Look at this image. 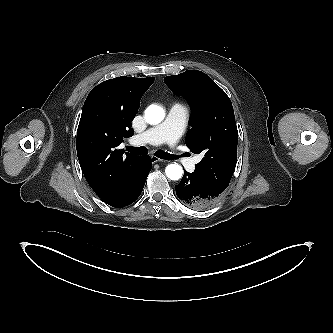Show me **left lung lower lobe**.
Returning a JSON list of instances; mask_svg holds the SVG:
<instances>
[{"label":"left lung lower lobe","mask_w":333,"mask_h":333,"mask_svg":"<svg viewBox=\"0 0 333 333\" xmlns=\"http://www.w3.org/2000/svg\"><path fill=\"white\" fill-rule=\"evenodd\" d=\"M222 192L195 173L186 171H184L181 182L176 186V194L179 199L196 210L211 207L219 199Z\"/></svg>","instance_id":"obj_1"}]
</instances>
